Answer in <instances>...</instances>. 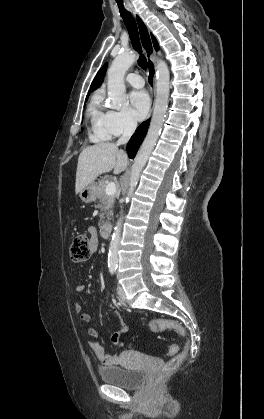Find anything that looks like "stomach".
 <instances>
[{
	"mask_svg": "<svg viewBox=\"0 0 264 419\" xmlns=\"http://www.w3.org/2000/svg\"><path fill=\"white\" fill-rule=\"evenodd\" d=\"M79 196L84 203L94 202L97 198V185L92 182L91 184L84 187L80 192Z\"/></svg>",
	"mask_w": 264,
	"mask_h": 419,
	"instance_id": "stomach-1",
	"label": "stomach"
}]
</instances>
